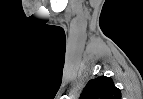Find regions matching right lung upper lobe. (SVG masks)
Instances as JSON below:
<instances>
[{
    "label": "right lung upper lobe",
    "mask_w": 143,
    "mask_h": 99,
    "mask_svg": "<svg viewBox=\"0 0 143 99\" xmlns=\"http://www.w3.org/2000/svg\"><path fill=\"white\" fill-rule=\"evenodd\" d=\"M80 99H121V92L111 78L100 76L87 83Z\"/></svg>",
    "instance_id": "right-lung-upper-lobe-1"
}]
</instances>
